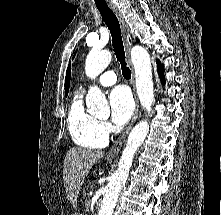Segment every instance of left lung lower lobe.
Listing matches in <instances>:
<instances>
[{
  "mask_svg": "<svg viewBox=\"0 0 221 215\" xmlns=\"http://www.w3.org/2000/svg\"><path fill=\"white\" fill-rule=\"evenodd\" d=\"M157 65H158L159 75L161 79L163 80V67L161 66L159 61H157Z\"/></svg>",
  "mask_w": 221,
  "mask_h": 215,
  "instance_id": "obj_1",
  "label": "left lung lower lobe"
}]
</instances>
